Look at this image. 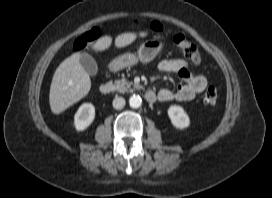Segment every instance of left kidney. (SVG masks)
Returning a JSON list of instances; mask_svg holds the SVG:
<instances>
[{
    "label": "left kidney",
    "mask_w": 272,
    "mask_h": 198,
    "mask_svg": "<svg viewBox=\"0 0 272 198\" xmlns=\"http://www.w3.org/2000/svg\"><path fill=\"white\" fill-rule=\"evenodd\" d=\"M167 112L174 127L184 129L190 125L189 116L181 106L171 105Z\"/></svg>",
    "instance_id": "left-kidney-1"
}]
</instances>
